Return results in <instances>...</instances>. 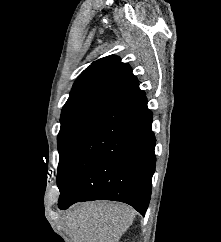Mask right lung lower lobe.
<instances>
[{
	"label": "right lung lower lobe",
	"mask_w": 221,
	"mask_h": 242,
	"mask_svg": "<svg viewBox=\"0 0 221 242\" xmlns=\"http://www.w3.org/2000/svg\"><path fill=\"white\" fill-rule=\"evenodd\" d=\"M151 124L145 95L100 124L70 158L57 182L59 209L104 199L127 203L144 216L156 163Z\"/></svg>",
	"instance_id": "obj_1"
}]
</instances>
